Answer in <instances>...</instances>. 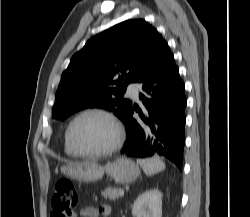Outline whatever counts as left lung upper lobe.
I'll use <instances>...</instances> for the list:
<instances>
[{
  "mask_svg": "<svg viewBox=\"0 0 250 217\" xmlns=\"http://www.w3.org/2000/svg\"><path fill=\"white\" fill-rule=\"evenodd\" d=\"M163 40L142 19L121 22L91 38L61 76L52 117L65 120L81 109L98 107L124 121L132 102L122 94L148 70Z\"/></svg>",
  "mask_w": 250,
  "mask_h": 217,
  "instance_id": "left-lung-upper-lobe-1",
  "label": "left lung upper lobe"
}]
</instances>
